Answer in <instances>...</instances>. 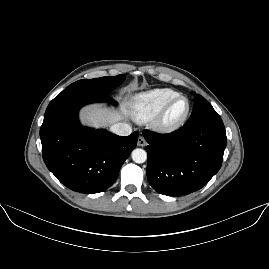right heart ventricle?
<instances>
[{
	"label": "right heart ventricle",
	"mask_w": 269,
	"mask_h": 269,
	"mask_svg": "<svg viewBox=\"0 0 269 269\" xmlns=\"http://www.w3.org/2000/svg\"><path fill=\"white\" fill-rule=\"evenodd\" d=\"M179 93L169 88H158L140 93L135 98V113L143 121L156 118Z\"/></svg>",
	"instance_id": "right-heart-ventricle-1"
}]
</instances>
